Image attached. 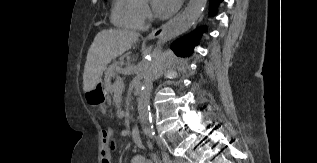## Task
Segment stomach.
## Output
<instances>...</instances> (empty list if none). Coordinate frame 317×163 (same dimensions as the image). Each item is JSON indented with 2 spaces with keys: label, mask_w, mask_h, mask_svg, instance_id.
<instances>
[{
  "label": "stomach",
  "mask_w": 317,
  "mask_h": 163,
  "mask_svg": "<svg viewBox=\"0 0 317 163\" xmlns=\"http://www.w3.org/2000/svg\"><path fill=\"white\" fill-rule=\"evenodd\" d=\"M85 99L91 106H103L108 100L104 84L99 82L92 90L86 92Z\"/></svg>",
  "instance_id": "1"
}]
</instances>
